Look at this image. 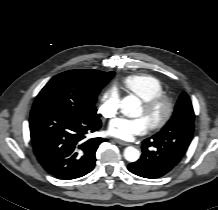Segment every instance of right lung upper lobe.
Wrapping results in <instances>:
<instances>
[{"label": "right lung upper lobe", "mask_w": 218, "mask_h": 210, "mask_svg": "<svg viewBox=\"0 0 218 210\" xmlns=\"http://www.w3.org/2000/svg\"><path fill=\"white\" fill-rule=\"evenodd\" d=\"M67 72L89 81L111 79L114 75V72H102L97 70H71Z\"/></svg>", "instance_id": "right-lung-upper-lobe-1"}]
</instances>
